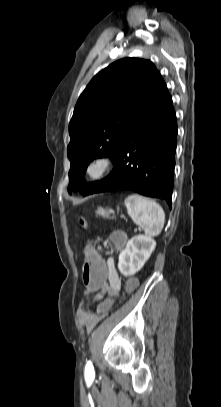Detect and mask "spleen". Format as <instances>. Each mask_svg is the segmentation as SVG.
Segmentation results:
<instances>
[{"mask_svg": "<svg viewBox=\"0 0 221 407\" xmlns=\"http://www.w3.org/2000/svg\"><path fill=\"white\" fill-rule=\"evenodd\" d=\"M125 206L128 215L144 230L146 235L160 234L164 226L165 213L156 201L132 194L125 199Z\"/></svg>", "mask_w": 221, "mask_h": 407, "instance_id": "1", "label": "spleen"}]
</instances>
